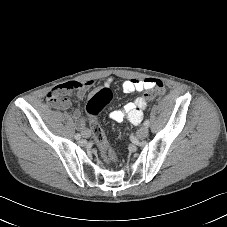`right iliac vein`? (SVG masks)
I'll return each mask as SVG.
<instances>
[{
  "label": "right iliac vein",
  "mask_w": 227,
  "mask_h": 227,
  "mask_svg": "<svg viewBox=\"0 0 227 227\" xmlns=\"http://www.w3.org/2000/svg\"><path fill=\"white\" fill-rule=\"evenodd\" d=\"M84 137H90V131H85V133H84Z\"/></svg>",
  "instance_id": "63e3f726"
}]
</instances>
